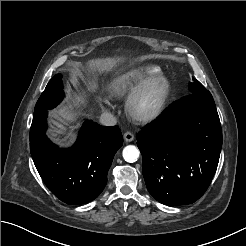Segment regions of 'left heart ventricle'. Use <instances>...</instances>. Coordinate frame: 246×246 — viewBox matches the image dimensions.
Segmentation results:
<instances>
[{
	"instance_id": "left-heart-ventricle-1",
	"label": "left heart ventricle",
	"mask_w": 246,
	"mask_h": 246,
	"mask_svg": "<svg viewBox=\"0 0 246 246\" xmlns=\"http://www.w3.org/2000/svg\"><path fill=\"white\" fill-rule=\"evenodd\" d=\"M161 88H162V85L161 84H158L156 86H154L150 91L149 93L147 94L145 100H144V103L143 105L145 107H149L151 105H153L155 103V101L157 100V97L161 91Z\"/></svg>"
}]
</instances>
